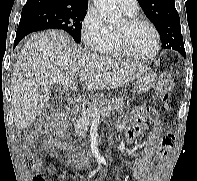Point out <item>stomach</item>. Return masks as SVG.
Wrapping results in <instances>:
<instances>
[{
    "label": "stomach",
    "mask_w": 197,
    "mask_h": 181,
    "mask_svg": "<svg viewBox=\"0 0 197 181\" xmlns=\"http://www.w3.org/2000/svg\"><path fill=\"white\" fill-rule=\"evenodd\" d=\"M155 77L150 69L141 72L134 81L133 92L136 94L148 92L155 83Z\"/></svg>",
    "instance_id": "obj_1"
}]
</instances>
